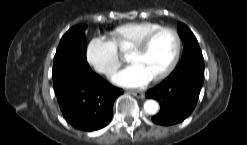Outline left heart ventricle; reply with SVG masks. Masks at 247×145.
I'll use <instances>...</instances> for the list:
<instances>
[{"label":"left heart ventricle","instance_id":"1","mask_svg":"<svg viewBox=\"0 0 247 145\" xmlns=\"http://www.w3.org/2000/svg\"><path fill=\"white\" fill-rule=\"evenodd\" d=\"M174 51L175 38L170 32L165 31L159 33L145 51H131L128 61L140 66L153 77L170 62Z\"/></svg>","mask_w":247,"mask_h":145}]
</instances>
